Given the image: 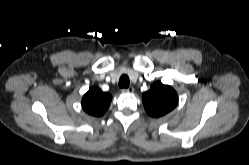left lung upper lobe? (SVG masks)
Instances as JSON below:
<instances>
[{
  "label": "left lung upper lobe",
  "mask_w": 249,
  "mask_h": 165,
  "mask_svg": "<svg viewBox=\"0 0 249 165\" xmlns=\"http://www.w3.org/2000/svg\"><path fill=\"white\" fill-rule=\"evenodd\" d=\"M142 101L150 116L161 117L177 106L178 95L171 86L157 81L143 94Z\"/></svg>",
  "instance_id": "left-lung-upper-lobe-1"
}]
</instances>
